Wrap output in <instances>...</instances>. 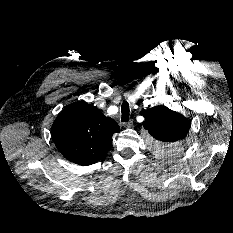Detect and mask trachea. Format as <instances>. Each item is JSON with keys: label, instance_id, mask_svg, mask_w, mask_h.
Returning <instances> with one entry per match:
<instances>
[{"label": "trachea", "instance_id": "obj_1", "mask_svg": "<svg viewBox=\"0 0 233 233\" xmlns=\"http://www.w3.org/2000/svg\"><path fill=\"white\" fill-rule=\"evenodd\" d=\"M121 112H122L121 122H128L130 110H129V104L127 101H123L122 106H121Z\"/></svg>", "mask_w": 233, "mask_h": 233}]
</instances>
